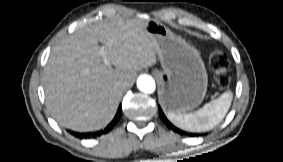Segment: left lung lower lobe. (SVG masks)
I'll return each instance as SVG.
<instances>
[{"instance_id": "0a47b994", "label": "left lung lower lobe", "mask_w": 283, "mask_h": 162, "mask_svg": "<svg viewBox=\"0 0 283 162\" xmlns=\"http://www.w3.org/2000/svg\"><path fill=\"white\" fill-rule=\"evenodd\" d=\"M159 114H160V117L162 118V120L167 124L168 127H170L172 129H174L175 131H177V129L175 127H173V125L167 120V118L163 114V112H162L160 107H159Z\"/></svg>"}]
</instances>
